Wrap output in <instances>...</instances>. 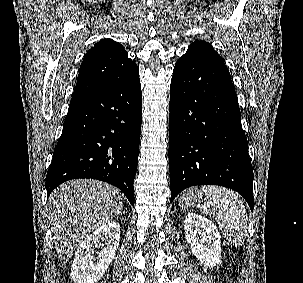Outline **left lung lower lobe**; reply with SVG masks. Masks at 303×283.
Wrapping results in <instances>:
<instances>
[{"instance_id": "1", "label": "left lung lower lobe", "mask_w": 303, "mask_h": 283, "mask_svg": "<svg viewBox=\"0 0 303 283\" xmlns=\"http://www.w3.org/2000/svg\"><path fill=\"white\" fill-rule=\"evenodd\" d=\"M170 202L195 185L237 191L253 211V169L230 73L214 50L186 52L173 70Z\"/></svg>"}]
</instances>
